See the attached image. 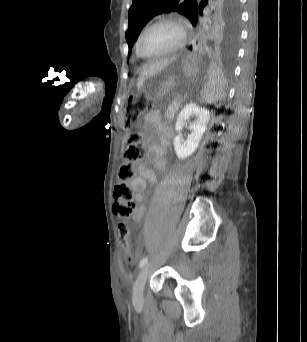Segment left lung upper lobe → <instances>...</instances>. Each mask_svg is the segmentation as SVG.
<instances>
[{
    "label": "left lung upper lobe",
    "instance_id": "left-lung-upper-lobe-1",
    "mask_svg": "<svg viewBox=\"0 0 307 342\" xmlns=\"http://www.w3.org/2000/svg\"><path fill=\"white\" fill-rule=\"evenodd\" d=\"M213 1L210 17L212 39L221 51L232 55L239 37L238 0ZM204 4H207V0H203L200 5L197 0H133L128 12L129 28L125 35L129 44V53L142 28L155 15L177 11L185 15L193 26H196L199 21V11L202 12Z\"/></svg>",
    "mask_w": 307,
    "mask_h": 342
}]
</instances>
